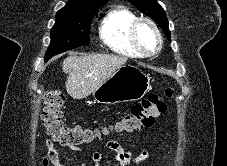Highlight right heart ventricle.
<instances>
[{
    "label": "right heart ventricle",
    "instance_id": "1",
    "mask_svg": "<svg viewBox=\"0 0 227 166\" xmlns=\"http://www.w3.org/2000/svg\"><path fill=\"white\" fill-rule=\"evenodd\" d=\"M137 15L123 6L110 9L100 21L99 36L103 44L114 53L141 57L129 39V28Z\"/></svg>",
    "mask_w": 227,
    "mask_h": 166
}]
</instances>
